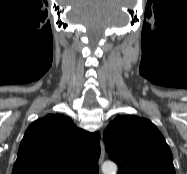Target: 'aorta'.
I'll list each match as a JSON object with an SVG mask.
<instances>
[{
  "instance_id": "aorta-1",
  "label": "aorta",
  "mask_w": 187,
  "mask_h": 174,
  "mask_svg": "<svg viewBox=\"0 0 187 174\" xmlns=\"http://www.w3.org/2000/svg\"><path fill=\"white\" fill-rule=\"evenodd\" d=\"M117 166L113 162H105L102 165L103 174H116Z\"/></svg>"
}]
</instances>
